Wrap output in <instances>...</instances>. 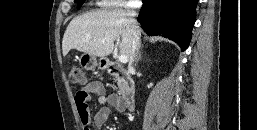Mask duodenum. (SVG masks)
<instances>
[{"label": "duodenum", "mask_w": 257, "mask_h": 130, "mask_svg": "<svg viewBox=\"0 0 257 130\" xmlns=\"http://www.w3.org/2000/svg\"><path fill=\"white\" fill-rule=\"evenodd\" d=\"M103 67L119 81L123 109L132 110L135 102V86L128 71L111 60H105Z\"/></svg>", "instance_id": "duodenum-1"}]
</instances>
